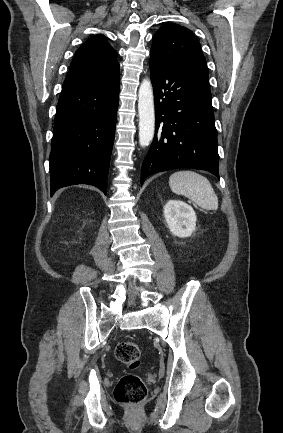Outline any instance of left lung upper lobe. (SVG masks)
Listing matches in <instances>:
<instances>
[{"label": "left lung upper lobe", "instance_id": "obj_1", "mask_svg": "<svg viewBox=\"0 0 283 433\" xmlns=\"http://www.w3.org/2000/svg\"><path fill=\"white\" fill-rule=\"evenodd\" d=\"M150 53L198 73L204 79L207 90L203 99L205 107L213 110L206 60L197 38L189 29L173 23L162 25L153 36Z\"/></svg>", "mask_w": 283, "mask_h": 433}]
</instances>
